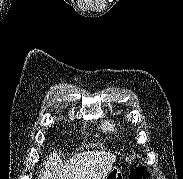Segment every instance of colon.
Here are the masks:
<instances>
[{"label": "colon", "mask_w": 183, "mask_h": 179, "mask_svg": "<svg viewBox=\"0 0 183 179\" xmlns=\"http://www.w3.org/2000/svg\"><path fill=\"white\" fill-rule=\"evenodd\" d=\"M146 175L147 172L141 165L135 166L130 170V179H144Z\"/></svg>", "instance_id": "1"}]
</instances>
